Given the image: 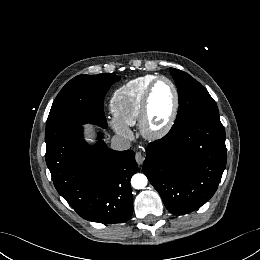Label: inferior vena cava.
<instances>
[{
    "label": "inferior vena cava",
    "instance_id": "obj_1",
    "mask_svg": "<svg viewBox=\"0 0 260 260\" xmlns=\"http://www.w3.org/2000/svg\"><path fill=\"white\" fill-rule=\"evenodd\" d=\"M110 146L114 150L124 151V150H128L130 148L131 142L124 137L115 135L111 139Z\"/></svg>",
    "mask_w": 260,
    "mask_h": 260
}]
</instances>
